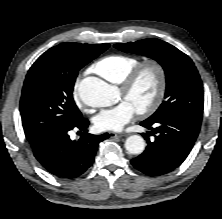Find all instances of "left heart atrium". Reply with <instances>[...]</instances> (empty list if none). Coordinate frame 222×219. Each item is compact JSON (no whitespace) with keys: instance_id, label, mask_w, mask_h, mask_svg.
<instances>
[{"instance_id":"1","label":"left heart atrium","mask_w":222,"mask_h":219,"mask_svg":"<svg viewBox=\"0 0 222 219\" xmlns=\"http://www.w3.org/2000/svg\"><path fill=\"white\" fill-rule=\"evenodd\" d=\"M136 109L126 100L116 106L102 110L95 118L94 125L100 131H120L134 117Z\"/></svg>"}]
</instances>
